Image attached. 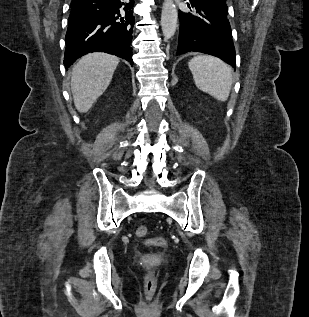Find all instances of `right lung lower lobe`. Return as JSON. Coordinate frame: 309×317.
Returning a JSON list of instances; mask_svg holds the SVG:
<instances>
[{
  "instance_id": "obj_1",
  "label": "right lung lower lobe",
  "mask_w": 309,
  "mask_h": 317,
  "mask_svg": "<svg viewBox=\"0 0 309 317\" xmlns=\"http://www.w3.org/2000/svg\"><path fill=\"white\" fill-rule=\"evenodd\" d=\"M134 0H72L64 65L89 52H106L133 65Z\"/></svg>"
}]
</instances>
